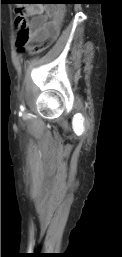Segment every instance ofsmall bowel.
<instances>
[{
    "label": "small bowel",
    "mask_w": 122,
    "mask_h": 257,
    "mask_svg": "<svg viewBox=\"0 0 122 257\" xmlns=\"http://www.w3.org/2000/svg\"><path fill=\"white\" fill-rule=\"evenodd\" d=\"M26 12L33 16L28 22L26 44L29 45L51 39L54 30H61L66 14V10L62 7L30 6Z\"/></svg>",
    "instance_id": "obj_1"
}]
</instances>
